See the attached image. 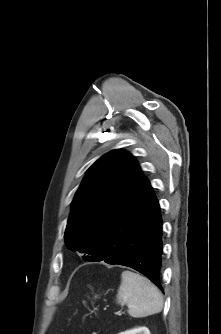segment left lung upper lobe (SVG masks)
I'll use <instances>...</instances> for the list:
<instances>
[{"instance_id":"left-lung-upper-lobe-1","label":"left lung upper lobe","mask_w":221,"mask_h":334,"mask_svg":"<svg viewBox=\"0 0 221 334\" xmlns=\"http://www.w3.org/2000/svg\"><path fill=\"white\" fill-rule=\"evenodd\" d=\"M143 179L134 157L123 150L97 160L73 199L65 231L67 247L93 261L104 232Z\"/></svg>"}]
</instances>
